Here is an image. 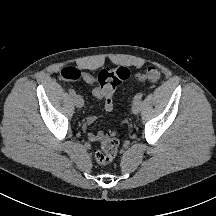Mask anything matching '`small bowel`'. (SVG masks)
Wrapping results in <instances>:
<instances>
[{"instance_id":"1","label":"small bowel","mask_w":216,"mask_h":216,"mask_svg":"<svg viewBox=\"0 0 216 216\" xmlns=\"http://www.w3.org/2000/svg\"><path fill=\"white\" fill-rule=\"evenodd\" d=\"M85 83L89 84L92 86V94L95 98H97L100 101H103L105 104V109L106 110H111L112 107H108L106 104V95L104 94V92L102 91V89L99 86V83L97 81V79L95 78L94 75H92L89 72L86 71H80V76H79ZM97 119V116L94 114H89L86 117L85 123L87 126L92 125ZM89 139L91 141H98L100 139V134L99 133H95L92 132L89 134Z\"/></svg>"}]
</instances>
